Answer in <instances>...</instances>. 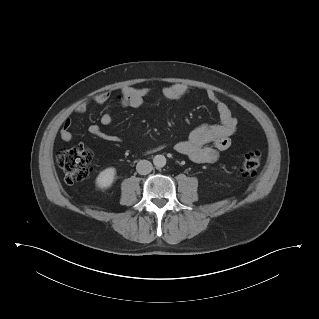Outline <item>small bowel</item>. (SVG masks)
I'll return each mask as SVG.
<instances>
[{"label":"small bowel","instance_id":"1","mask_svg":"<svg viewBox=\"0 0 319 319\" xmlns=\"http://www.w3.org/2000/svg\"><path fill=\"white\" fill-rule=\"evenodd\" d=\"M188 88L183 83H173L162 88V96L167 101H176L184 96ZM148 87H124L121 91L120 103L128 107L141 106L146 97L150 94ZM208 100L214 105L219 116V122L215 124H201L195 127L188 138L175 144L174 149L177 153L186 156L190 160L199 163H212L216 161L219 155L226 151L231 145V136L237 129V119L233 116L229 106L222 101L213 90L206 92ZM111 99L109 92H100L93 97L94 103L104 105ZM88 103L81 102L77 105L75 111L78 114H84L87 111ZM113 117L110 111L104 112L100 117L99 124H91L88 132L104 141L111 143L120 142L117 135L105 132L102 126H108L112 123ZM72 121L67 118L61 127L60 138L64 142H70L73 139L71 131ZM157 148L152 149L155 151Z\"/></svg>","mask_w":319,"mask_h":319}]
</instances>
